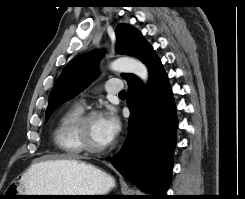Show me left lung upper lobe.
<instances>
[{
    "mask_svg": "<svg viewBox=\"0 0 245 199\" xmlns=\"http://www.w3.org/2000/svg\"><path fill=\"white\" fill-rule=\"evenodd\" d=\"M115 33L117 53L135 56L145 63L153 48L145 42L141 33L127 25H119ZM97 59L96 52L84 54L75 57L65 66L51 91L46 121L55 109L75 97L95 78ZM132 77H134L132 74L125 75L126 81Z\"/></svg>",
    "mask_w": 245,
    "mask_h": 199,
    "instance_id": "obj_1",
    "label": "left lung upper lobe"
}]
</instances>
